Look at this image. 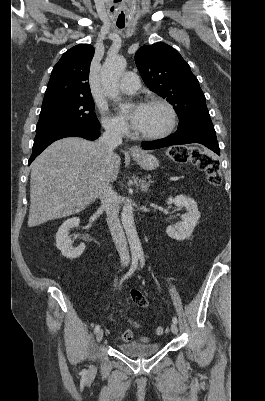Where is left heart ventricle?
Masks as SVG:
<instances>
[{"instance_id":"b2bd125f","label":"left heart ventricle","mask_w":265,"mask_h":401,"mask_svg":"<svg viewBox=\"0 0 265 401\" xmlns=\"http://www.w3.org/2000/svg\"><path fill=\"white\" fill-rule=\"evenodd\" d=\"M167 120V114L160 106L147 105L145 116L140 126L139 134H151L158 131Z\"/></svg>"}]
</instances>
